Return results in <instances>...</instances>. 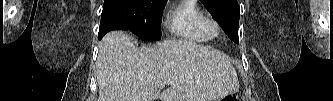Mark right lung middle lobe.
<instances>
[{"mask_svg":"<svg viewBox=\"0 0 333 101\" xmlns=\"http://www.w3.org/2000/svg\"><path fill=\"white\" fill-rule=\"evenodd\" d=\"M167 0H104L103 10L115 13L129 30L144 41L161 39V12Z\"/></svg>","mask_w":333,"mask_h":101,"instance_id":"right-lung-middle-lobe-1","label":"right lung middle lobe"}]
</instances>
